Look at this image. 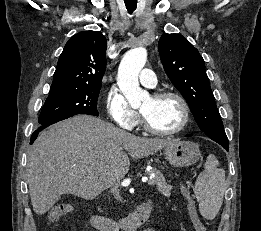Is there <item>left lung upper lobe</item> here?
<instances>
[{"label":"left lung upper lobe","mask_w":261,"mask_h":231,"mask_svg":"<svg viewBox=\"0 0 261 231\" xmlns=\"http://www.w3.org/2000/svg\"><path fill=\"white\" fill-rule=\"evenodd\" d=\"M158 49L166 74L186 99L200 129L211 139L228 142L198 50L182 35L166 33Z\"/></svg>","instance_id":"1"}]
</instances>
